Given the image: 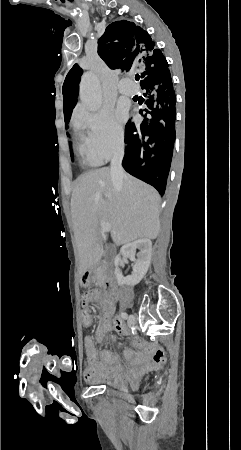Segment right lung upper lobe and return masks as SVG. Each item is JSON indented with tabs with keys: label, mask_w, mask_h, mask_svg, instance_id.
<instances>
[{
	"label": "right lung upper lobe",
	"mask_w": 241,
	"mask_h": 450,
	"mask_svg": "<svg viewBox=\"0 0 241 450\" xmlns=\"http://www.w3.org/2000/svg\"><path fill=\"white\" fill-rule=\"evenodd\" d=\"M98 54L111 69L144 70L165 64L166 58L147 31L126 20L111 23L98 40ZM75 64L69 74L82 75Z\"/></svg>",
	"instance_id": "1"
}]
</instances>
